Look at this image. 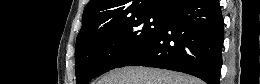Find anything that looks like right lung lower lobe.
Masks as SVG:
<instances>
[{"label":"right lung lower lobe","mask_w":260,"mask_h":84,"mask_svg":"<svg viewBox=\"0 0 260 84\" xmlns=\"http://www.w3.org/2000/svg\"><path fill=\"white\" fill-rule=\"evenodd\" d=\"M224 20L218 0H186L167 13L166 24L128 66L180 71L219 84Z\"/></svg>","instance_id":"1"}]
</instances>
